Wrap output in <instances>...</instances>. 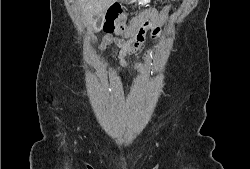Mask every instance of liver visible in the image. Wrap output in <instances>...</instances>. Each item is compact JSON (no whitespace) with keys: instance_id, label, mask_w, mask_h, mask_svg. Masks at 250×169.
<instances>
[{"instance_id":"obj_1","label":"liver","mask_w":250,"mask_h":169,"mask_svg":"<svg viewBox=\"0 0 250 169\" xmlns=\"http://www.w3.org/2000/svg\"><path fill=\"white\" fill-rule=\"evenodd\" d=\"M76 2L84 18V24H86V26H88V24L94 26L93 16H95V14L96 16L103 14L108 6H110L112 2H115V0H76Z\"/></svg>"}]
</instances>
